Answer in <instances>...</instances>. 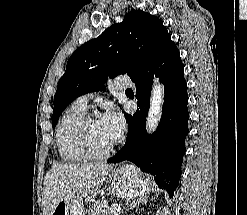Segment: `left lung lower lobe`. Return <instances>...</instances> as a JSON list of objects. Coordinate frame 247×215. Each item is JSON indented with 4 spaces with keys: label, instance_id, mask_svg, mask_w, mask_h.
<instances>
[{
    "label": "left lung lower lobe",
    "instance_id": "0a47b994",
    "mask_svg": "<svg viewBox=\"0 0 247 215\" xmlns=\"http://www.w3.org/2000/svg\"><path fill=\"white\" fill-rule=\"evenodd\" d=\"M154 73L164 83L165 101L157 130L148 135L145 130V119L149 109ZM132 81L136 84L139 108L133 116L125 114L128 123L126 143L107 162L119 163L125 160L133 162L143 172L153 175L158 186L166 189L172 197L181 177L185 138L189 131L186 81L175 43L169 39L152 63L132 78Z\"/></svg>",
    "mask_w": 247,
    "mask_h": 215
}]
</instances>
